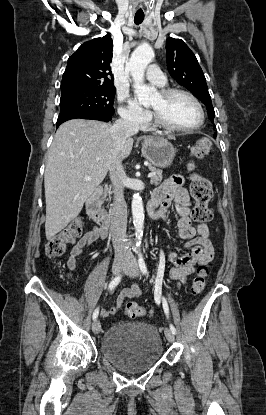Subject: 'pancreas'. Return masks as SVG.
Instances as JSON below:
<instances>
[{
	"instance_id": "cf45deb5",
	"label": "pancreas",
	"mask_w": 266,
	"mask_h": 415,
	"mask_svg": "<svg viewBox=\"0 0 266 415\" xmlns=\"http://www.w3.org/2000/svg\"><path fill=\"white\" fill-rule=\"evenodd\" d=\"M149 170L155 173V175L151 177L150 183L155 186L159 185L163 178L162 171L151 165H149Z\"/></svg>"
}]
</instances>
